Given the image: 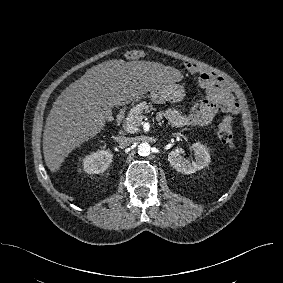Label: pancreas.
I'll return each mask as SVG.
<instances>
[{
  "mask_svg": "<svg viewBox=\"0 0 283 283\" xmlns=\"http://www.w3.org/2000/svg\"><path fill=\"white\" fill-rule=\"evenodd\" d=\"M150 110H154L152 105L147 104L145 101L138 103L130 110L128 117L123 124L124 130L128 133H135L138 131L142 121L140 120L141 114L143 112H149Z\"/></svg>",
  "mask_w": 283,
  "mask_h": 283,
  "instance_id": "cf45deb5",
  "label": "pancreas"
}]
</instances>
